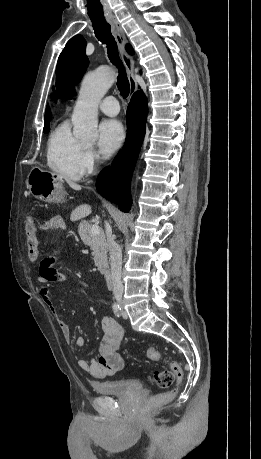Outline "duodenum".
<instances>
[{"label": "duodenum", "mask_w": 261, "mask_h": 459, "mask_svg": "<svg viewBox=\"0 0 261 459\" xmlns=\"http://www.w3.org/2000/svg\"><path fill=\"white\" fill-rule=\"evenodd\" d=\"M101 272L103 273V275L105 276L108 284H112V272H111V269L109 266L107 265H103L101 266Z\"/></svg>", "instance_id": "obj_1"}]
</instances>
